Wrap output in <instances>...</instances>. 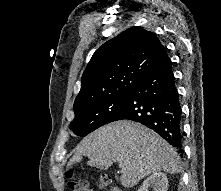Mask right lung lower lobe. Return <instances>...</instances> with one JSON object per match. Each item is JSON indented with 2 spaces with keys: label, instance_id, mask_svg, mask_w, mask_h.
Wrapping results in <instances>:
<instances>
[{
  "label": "right lung lower lobe",
  "instance_id": "right-lung-lower-lobe-1",
  "mask_svg": "<svg viewBox=\"0 0 221 191\" xmlns=\"http://www.w3.org/2000/svg\"><path fill=\"white\" fill-rule=\"evenodd\" d=\"M181 114L171 61L167 58L132 90L116 121L142 123L182 153Z\"/></svg>",
  "mask_w": 221,
  "mask_h": 191
}]
</instances>
